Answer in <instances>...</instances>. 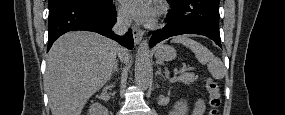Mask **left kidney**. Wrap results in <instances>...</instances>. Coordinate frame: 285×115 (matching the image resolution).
<instances>
[{"label": "left kidney", "instance_id": "obj_1", "mask_svg": "<svg viewBox=\"0 0 285 115\" xmlns=\"http://www.w3.org/2000/svg\"><path fill=\"white\" fill-rule=\"evenodd\" d=\"M188 106L185 100H180L175 103L174 109L170 112V115H187Z\"/></svg>", "mask_w": 285, "mask_h": 115}]
</instances>
